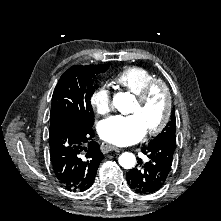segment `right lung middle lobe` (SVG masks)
<instances>
[{
    "label": "right lung middle lobe",
    "instance_id": "right-lung-middle-lobe-1",
    "mask_svg": "<svg viewBox=\"0 0 221 221\" xmlns=\"http://www.w3.org/2000/svg\"><path fill=\"white\" fill-rule=\"evenodd\" d=\"M109 65H74L60 77L52 96L50 130L64 124H94L92 84L95 75L105 72Z\"/></svg>",
    "mask_w": 221,
    "mask_h": 221
}]
</instances>
